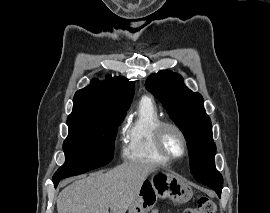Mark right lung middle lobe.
<instances>
[{"instance_id":"1","label":"right lung middle lobe","mask_w":270,"mask_h":213,"mask_svg":"<svg viewBox=\"0 0 270 213\" xmlns=\"http://www.w3.org/2000/svg\"><path fill=\"white\" fill-rule=\"evenodd\" d=\"M124 116L125 113L110 118L67 120L69 134L63 144L66 160L53 181L108 164L113 159L117 126Z\"/></svg>"}]
</instances>
